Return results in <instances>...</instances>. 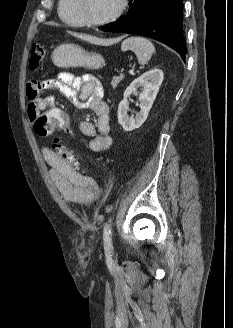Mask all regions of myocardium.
<instances>
[{
	"label": "myocardium",
	"instance_id": "f54148a6",
	"mask_svg": "<svg viewBox=\"0 0 233 328\" xmlns=\"http://www.w3.org/2000/svg\"><path fill=\"white\" fill-rule=\"evenodd\" d=\"M127 6H128V0H121L119 7L113 14L101 20H93L85 14L83 0H76V4H75L76 11L80 19L83 21L85 25L88 26H102L117 20L125 12Z\"/></svg>",
	"mask_w": 233,
	"mask_h": 328
}]
</instances>
